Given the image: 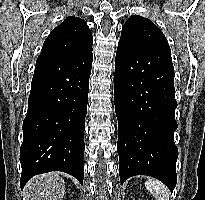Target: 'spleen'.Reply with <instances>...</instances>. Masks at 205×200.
Listing matches in <instances>:
<instances>
[{
    "instance_id": "obj_1",
    "label": "spleen",
    "mask_w": 205,
    "mask_h": 200,
    "mask_svg": "<svg viewBox=\"0 0 205 200\" xmlns=\"http://www.w3.org/2000/svg\"><path fill=\"white\" fill-rule=\"evenodd\" d=\"M145 187L156 200H169V190L161 181L149 178Z\"/></svg>"
}]
</instances>
